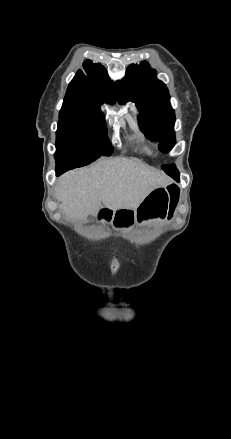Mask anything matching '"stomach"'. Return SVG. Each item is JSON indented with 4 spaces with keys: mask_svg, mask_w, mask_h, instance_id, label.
<instances>
[{
    "mask_svg": "<svg viewBox=\"0 0 231 439\" xmlns=\"http://www.w3.org/2000/svg\"><path fill=\"white\" fill-rule=\"evenodd\" d=\"M126 211L127 214H123ZM118 218L115 220L117 230H129L136 224H148L161 221L168 216L169 199L166 187L152 190L135 209L124 208L115 211Z\"/></svg>",
    "mask_w": 231,
    "mask_h": 439,
    "instance_id": "1",
    "label": "stomach"
}]
</instances>
